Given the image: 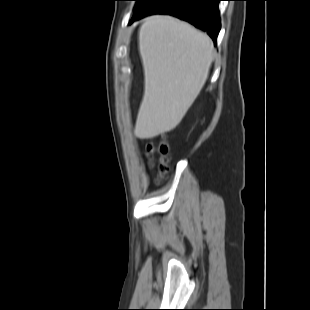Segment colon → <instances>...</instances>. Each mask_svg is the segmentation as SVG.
Returning <instances> with one entry per match:
<instances>
[{
	"instance_id": "obj_1",
	"label": "colon",
	"mask_w": 310,
	"mask_h": 310,
	"mask_svg": "<svg viewBox=\"0 0 310 310\" xmlns=\"http://www.w3.org/2000/svg\"><path fill=\"white\" fill-rule=\"evenodd\" d=\"M146 150L152 165L157 168L160 174H165L168 171V144L165 141L157 144L149 143Z\"/></svg>"
}]
</instances>
